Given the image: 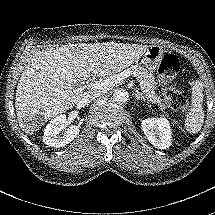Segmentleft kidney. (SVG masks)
<instances>
[{"label": "left kidney", "mask_w": 215, "mask_h": 215, "mask_svg": "<svg viewBox=\"0 0 215 215\" xmlns=\"http://www.w3.org/2000/svg\"><path fill=\"white\" fill-rule=\"evenodd\" d=\"M141 129L155 148L162 150L171 146L172 131L165 117L147 118L141 122Z\"/></svg>", "instance_id": "1"}]
</instances>
